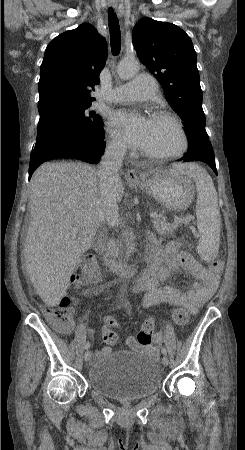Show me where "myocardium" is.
<instances>
[{"label": "myocardium", "mask_w": 245, "mask_h": 450, "mask_svg": "<svg viewBox=\"0 0 245 450\" xmlns=\"http://www.w3.org/2000/svg\"><path fill=\"white\" fill-rule=\"evenodd\" d=\"M152 119L159 120V121H166V122L170 123L171 125H173L174 128L179 133L180 145L176 150L171 151V152L158 153V152L143 151L142 154L147 157L159 160V161H168V160L175 159V158L180 157L183 154H185L189 147V139H188L187 133H186L182 123L180 122V120L175 115H173L172 113H170L168 111H158L153 114Z\"/></svg>", "instance_id": "myocardium-1"}]
</instances>
